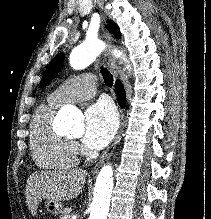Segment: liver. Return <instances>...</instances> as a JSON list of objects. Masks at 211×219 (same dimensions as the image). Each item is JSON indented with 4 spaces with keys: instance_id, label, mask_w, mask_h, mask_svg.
Wrapping results in <instances>:
<instances>
[{
    "instance_id": "1",
    "label": "liver",
    "mask_w": 211,
    "mask_h": 219,
    "mask_svg": "<svg viewBox=\"0 0 211 219\" xmlns=\"http://www.w3.org/2000/svg\"><path fill=\"white\" fill-rule=\"evenodd\" d=\"M87 177V171L71 169L42 171L31 174L26 185V202L33 216L42 199L69 201L78 196Z\"/></svg>"
}]
</instances>
